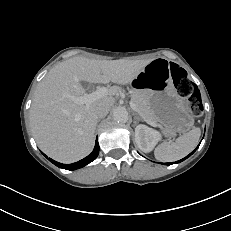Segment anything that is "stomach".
<instances>
[{"instance_id":"obj_1","label":"stomach","mask_w":231,"mask_h":231,"mask_svg":"<svg viewBox=\"0 0 231 231\" xmlns=\"http://www.w3.org/2000/svg\"><path fill=\"white\" fill-rule=\"evenodd\" d=\"M134 92H139L149 103L166 137L185 133L194 124V116L187 100L174 86L168 62L154 59L132 80Z\"/></svg>"}]
</instances>
